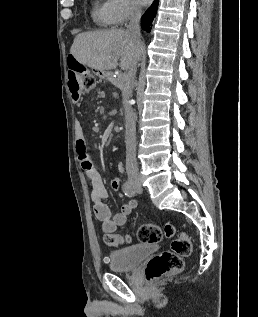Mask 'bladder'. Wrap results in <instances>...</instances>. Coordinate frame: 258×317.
Returning <instances> with one entry per match:
<instances>
[{
    "instance_id": "obj_1",
    "label": "bladder",
    "mask_w": 258,
    "mask_h": 317,
    "mask_svg": "<svg viewBox=\"0 0 258 317\" xmlns=\"http://www.w3.org/2000/svg\"><path fill=\"white\" fill-rule=\"evenodd\" d=\"M157 245L135 244L109 254V266L114 271H128L134 269L144 259L154 256Z\"/></svg>"
}]
</instances>
